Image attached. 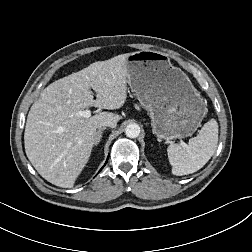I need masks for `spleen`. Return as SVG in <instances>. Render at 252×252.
<instances>
[{"instance_id": "obj_1", "label": "spleen", "mask_w": 252, "mask_h": 252, "mask_svg": "<svg viewBox=\"0 0 252 252\" xmlns=\"http://www.w3.org/2000/svg\"><path fill=\"white\" fill-rule=\"evenodd\" d=\"M218 143V123L210 119L199 134L183 147L171 144L167 149L172 173L177 176L194 173L201 169L213 156Z\"/></svg>"}]
</instances>
